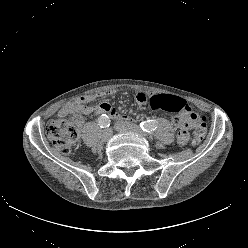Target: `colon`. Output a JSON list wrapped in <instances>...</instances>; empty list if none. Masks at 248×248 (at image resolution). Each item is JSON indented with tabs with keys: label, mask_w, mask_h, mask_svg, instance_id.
Here are the masks:
<instances>
[{
	"label": "colon",
	"mask_w": 248,
	"mask_h": 248,
	"mask_svg": "<svg viewBox=\"0 0 248 248\" xmlns=\"http://www.w3.org/2000/svg\"><path fill=\"white\" fill-rule=\"evenodd\" d=\"M149 105L153 110L188 113L190 118L198 121V125L193 133L192 143L198 145L203 140L205 135V119L197 111L192 110L182 98L168 94L153 95L149 98ZM82 112V109H78L74 114L77 116L82 114ZM46 135L58 152L68 155L77 144L79 129L75 120L55 119L48 123Z\"/></svg>",
	"instance_id": "colon-1"
}]
</instances>
